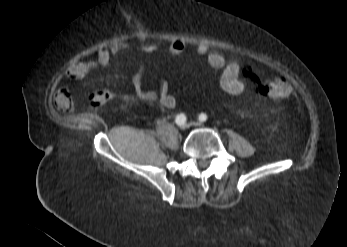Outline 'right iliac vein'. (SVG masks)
I'll return each mask as SVG.
<instances>
[{
  "label": "right iliac vein",
  "instance_id": "obj_1",
  "mask_svg": "<svg viewBox=\"0 0 347 247\" xmlns=\"http://www.w3.org/2000/svg\"><path fill=\"white\" fill-rule=\"evenodd\" d=\"M181 130H187L189 128L188 124H183L180 126Z\"/></svg>",
  "mask_w": 347,
  "mask_h": 247
}]
</instances>
